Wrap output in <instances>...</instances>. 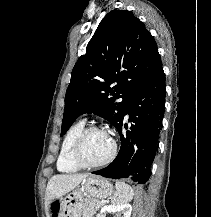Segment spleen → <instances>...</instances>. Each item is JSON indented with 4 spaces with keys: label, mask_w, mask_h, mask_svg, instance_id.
Here are the masks:
<instances>
[{
    "label": "spleen",
    "mask_w": 211,
    "mask_h": 217,
    "mask_svg": "<svg viewBox=\"0 0 211 217\" xmlns=\"http://www.w3.org/2000/svg\"><path fill=\"white\" fill-rule=\"evenodd\" d=\"M116 192L113 196V203L123 204L131 201L134 196V191L131 186L122 181H116Z\"/></svg>",
    "instance_id": "3e777b00"
}]
</instances>
